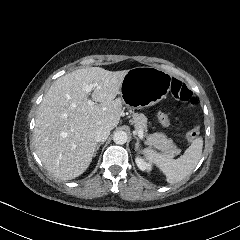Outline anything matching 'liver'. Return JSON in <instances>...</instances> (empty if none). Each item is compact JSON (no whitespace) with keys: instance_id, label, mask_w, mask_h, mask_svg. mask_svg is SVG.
<instances>
[{"instance_id":"liver-1","label":"liver","mask_w":240,"mask_h":240,"mask_svg":"<svg viewBox=\"0 0 240 240\" xmlns=\"http://www.w3.org/2000/svg\"><path fill=\"white\" fill-rule=\"evenodd\" d=\"M127 72L80 68L50 86L36 115L34 146L53 176L67 181L80 175L96 149L95 132L117 126L123 104L116 95ZM96 83L88 100L83 87Z\"/></svg>"}]
</instances>
